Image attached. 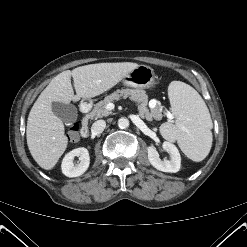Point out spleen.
<instances>
[{
	"mask_svg": "<svg viewBox=\"0 0 247 247\" xmlns=\"http://www.w3.org/2000/svg\"><path fill=\"white\" fill-rule=\"evenodd\" d=\"M168 96L177 119L175 124L167 122L161 125L162 135L176 140L189 159L195 162L204 160L213 140V123L204 100L193 87L181 81L169 84Z\"/></svg>",
	"mask_w": 247,
	"mask_h": 247,
	"instance_id": "spleen-1",
	"label": "spleen"
}]
</instances>
